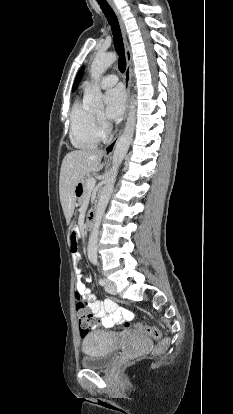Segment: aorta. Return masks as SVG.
<instances>
[{
  "instance_id": "1",
  "label": "aorta",
  "mask_w": 233,
  "mask_h": 414,
  "mask_svg": "<svg viewBox=\"0 0 233 414\" xmlns=\"http://www.w3.org/2000/svg\"><path fill=\"white\" fill-rule=\"evenodd\" d=\"M116 59L117 55L115 53H98L94 58L91 65V78L94 80V84L84 95L83 104L85 107L93 109L102 108V92L98 82L100 77L116 61ZM135 106L136 102L134 99H131L126 126L121 137L117 141L113 154L112 167L108 173V178L106 179L105 186L103 187L99 197L94 217V227L88 242V258L92 262L97 260V242L101 220L113 192L118 169L133 139L136 123Z\"/></svg>"
}]
</instances>
